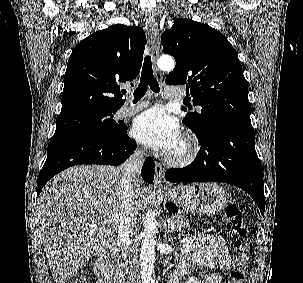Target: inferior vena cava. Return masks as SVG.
I'll use <instances>...</instances> for the list:
<instances>
[{
    "label": "inferior vena cava",
    "mask_w": 303,
    "mask_h": 283,
    "mask_svg": "<svg viewBox=\"0 0 303 283\" xmlns=\"http://www.w3.org/2000/svg\"><path fill=\"white\" fill-rule=\"evenodd\" d=\"M145 156V150L137 149L121 165L123 172L121 179L123 203L117 238L122 247L126 283H140L137 251L135 246L132 245V236L135 231V219L132 215L135 197L133 182L140 177Z\"/></svg>",
    "instance_id": "602c4592"
}]
</instances>
